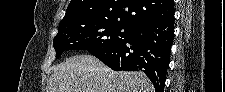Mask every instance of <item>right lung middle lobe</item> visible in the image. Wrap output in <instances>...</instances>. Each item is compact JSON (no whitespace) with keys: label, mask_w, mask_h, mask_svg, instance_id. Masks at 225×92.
Listing matches in <instances>:
<instances>
[{"label":"right lung middle lobe","mask_w":225,"mask_h":92,"mask_svg":"<svg viewBox=\"0 0 225 92\" xmlns=\"http://www.w3.org/2000/svg\"><path fill=\"white\" fill-rule=\"evenodd\" d=\"M132 29L118 22H77L70 28L58 30L53 40L56 58L66 50H88L93 53L107 49L125 41Z\"/></svg>","instance_id":"dd1d6c3e"}]
</instances>
